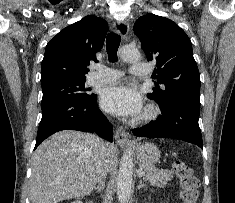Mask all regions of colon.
<instances>
[{
  "label": "colon",
  "mask_w": 235,
  "mask_h": 203,
  "mask_svg": "<svg viewBox=\"0 0 235 203\" xmlns=\"http://www.w3.org/2000/svg\"><path fill=\"white\" fill-rule=\"evenodd\" d=\"M174 171L179 179L180 197L183 203H197L199 199V181L192 168L184 161L174 162Z\"/></svg>",
  "instance_id": "1"
}]
</instances>
